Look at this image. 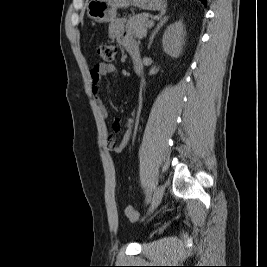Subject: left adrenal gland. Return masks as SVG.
Listing matches in <instances>:
<instances>
[{"mask_svg":"<svg viewBox=\"0 0 267 267\" xmlns=\"http://www.w3.org/2000/svg\"><path fill=\"white\" fill-rule=\"evenodd\" d=\"M168 18H169L168 16H164V17L160 18L159 22L157 23L155 29L153 30V32L149 38L148 49H150L155 35L158 33L160 28L168 21Z\"/></svg>","mask_w":267,"mask_h":267,"instance_id":"a2214340","label":"left adrenal gland"}]
</instances>
